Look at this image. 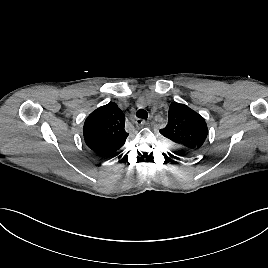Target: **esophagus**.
<instances>
[{
	"mask_svg": "<svg viewBox=\"0 0 268 268\" xmlns=\"http://www.w3.org/2000/svg\"><path fill=\"white\" fill-rule=\"evenodd\" d=\"M136 124H137V125H141V126H145V125H147L148 123H147L145 120H143V119H137V120H136Z\"/></svg>",
	"mask_w": 268,
	"mask_h": 268,
	"instance_id": "esophagus-1",
	"label": "esophagus"
}]
</instances>
